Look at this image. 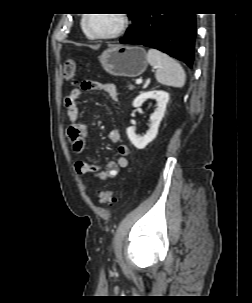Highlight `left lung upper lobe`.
I'll use <instances>...</instances> for the list:
<instances>
[{
	"instance_id": "1",
	"label": "left lung upper lobe",
	"mask_w": 252,
	"mask_h": 303,
	"mask_svg": "<svg viewBox=\"0 0 252 303\" xmlns=\"http://www.w3.org/2000/svg\"><path fill=\"white\" fill-rule=\"evenodd\" d=\"M141 16V13H136V14H131L128 17L132 19V25L128 28V30L126 31V35L123 37H127L134 29V27L136 26L139 18Z\"/></svg>"
}]
</instances>
